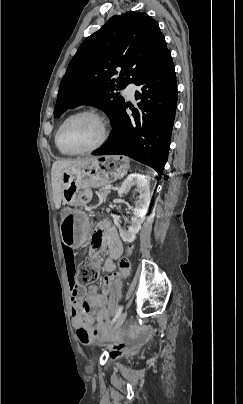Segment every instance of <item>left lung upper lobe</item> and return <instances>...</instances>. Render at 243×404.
<instances>
[{"label":"left lung upper lobe","instance_id":"5c2ea615","mask_svg":"<svg viewBox=\"0 0 243 404\" xmlns=\"http://www.w3.org/2000/svg\"><path fill=\"white\" fill-rule=\"evenodd\" d=\"M167 52L158 23L148 14L130 11L111 17L82 42L70 61L60 83L55 117L87 104L104 110L115 123L126 105L115 91L135 83ZM116 69L120 75L114 79Z\"/></svg>","mask_w":243,"mask_h":404}]
</instances>
